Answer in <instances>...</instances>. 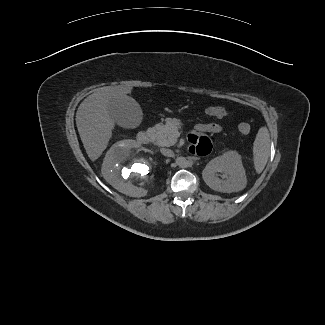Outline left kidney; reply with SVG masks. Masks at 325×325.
Returning a JSON list of instances; mask_svg holds the SVG:
<instances>
[{
  "label": "left kidney",
  "mask_w": 325,
  "mask_h": 325,
  "mask_svg": "<svg viewBox=\"0 0 325 325\" xmlns=\"http://www.w3.org/2000/svg\"><path fill=\"white\" fill-rule=\"evenodd\" d=\"M202 177L211 189L224 193L238 192L247 184L241 157L236 151L212 159L204 168Z\"/></svg>",
  "instance_id": "left-kidney-1"
}]
</instances>
